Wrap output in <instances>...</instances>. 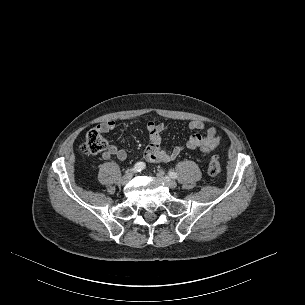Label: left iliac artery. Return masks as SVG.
<instances>
[{
	"label": "left iliac artery",
	"instance_id": "left-iliac-artery-1",
	"mask_svg": "<svg viewBox=\"0 0 305 305\" xmlns=\"http://www.w3.org/2000/svg\"><path fill=\"white\" fill-rule=\"evenodd\" d=\"M169 176L173 179H176L178 177L177 173L173 172V171H170L169 172Z\"/></svg>",
	"mask_w": 305,
	"mask_h": 305
}]
</instances>
